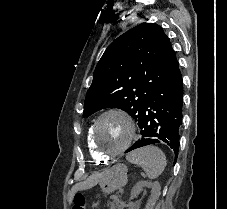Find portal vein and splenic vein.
Instances as JSON below:
<instances>
[{"mask_svg":"<svg viewBox=\"0 0 227 209\" xmlns=\"http://www.w3.org/2000/svg\"><path fill=\"white\" fill-rule=\"evenodd\" d=\"M120 192L123 194L125 191L122 189ZM109 197H110V198L112 197L113 200L116 202V201L118 200L117 198H118L119 196H118L117 194H113L112 196L110 195Z\"/></svg>","mask_w":227,"mask_h":209,"instance_id":"18ae733b","label":"portal vein and splenic vein"}]
</instances>
